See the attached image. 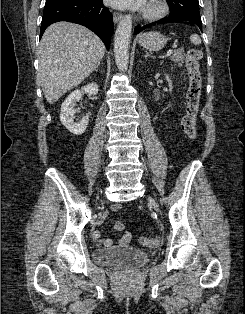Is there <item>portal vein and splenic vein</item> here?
Segmentation results:
<instances>
[{
  "label": "portal vein and splenic vein",
  "mask_w": 245,
  "mask_h": 314,
  "mask_svg": "<svg viewBox=\"0 0 245 314\" xmlns=\"http://www.w3.org/2000/svg\"><path fill=\"white\" fill-rule=\"evenodd\" d=\"M175 46H173L171 49H169L168 51H167V53L165 54V57H169V56H171V54L173 53V48H174Z\"/></svg>",
  "instance_id": "18ae733b"
}]
</instances>
